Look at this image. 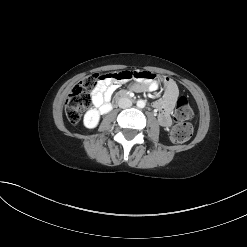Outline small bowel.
I'll return each mask as SVG.
<instances>
[{
  "instance_id": "small-bowel-1",
  "label": "small bowel",
  "mask_w": 247,
  "mask_h": 247,
  "mask_svg": "<svg viewBox=\"0 0 247 247\" xmlns=\"http://www.w3.org/2000/svg\"><path fill=\"white\" fill-rule=\"evenodd\" d=\"M104 75L105 77L92 92V104L101 113H107L111 110L110 100L122 83H134L132 88L136 91H155L158 88L157 75L144 70H114ZM161 82L164 86V95L154 103V107L159 111V124L169 128L173 123L171 113L179 96V90L176 83L170 78H162Z\"/></svg>"
}]
</instances>
